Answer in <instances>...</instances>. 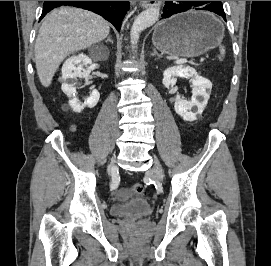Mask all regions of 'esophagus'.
I'll use <instances>...</instances> for the list:
<instances>
[{
	"label": "esophagus",
	"instance_id": "esophagus-1",
	"mask_svg": "<svg viewBox=\"0 0 271 266\" xmlns=\"http://www.w3.org/2000/svg\"><path fill=\"white\" fill-rule=\"evenodd\" d=\"M162 1H141V6L143 8H148V7H159L161 5Z\"/></svg>",
	"mask_w": 271,
	"mask_h": 266
}]
</instances>
